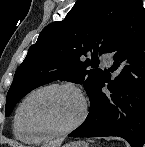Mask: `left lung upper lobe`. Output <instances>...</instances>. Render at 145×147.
I'll list each match as a JSON object with an SVG mask.
<instances>
[{
    "mask_svg": "<svg viewBox=\"0 0 145 147\" xmlns=\"http://www.w3.org/2000/svg\"><path fill=\"white\" fill-rule=\"evenodd\" d=\"M131 0H77L62 21L47 25L17 69L8 91L5 116L33 89L55 80L84 84L92 98L104 72L87 70L108 53L124 22ZM93 51L91 61L87 52Z\"/></svg>",
    "mask_w": 145,
    "mask_h": 147,
    "instance_id": "left-lung-upper-lobe-1",
    "label": "left lung upper lobe"
}]
</instances>
